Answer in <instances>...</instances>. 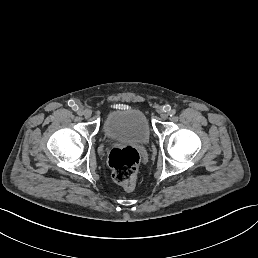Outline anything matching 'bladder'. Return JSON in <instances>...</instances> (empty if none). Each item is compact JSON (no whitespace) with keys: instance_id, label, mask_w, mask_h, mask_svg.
Listing matches in <instances>:
<instances>
[{"instance_id":"obj_1","label":"bladder","mask_w":258,"mask_h":258,"mask_svg":"<svg viewBox=\"0 0 258 258\" xmlns=\"http://www.w3.org/2000/svg\"><path fill=\"white\" fill-rule=\"evenodd\" d=\"M103 132L110 140L145 144L150 138V126L145 114L136 108L111 111L105 118Z\"/></svg>"}]
</instances>
